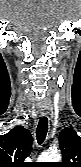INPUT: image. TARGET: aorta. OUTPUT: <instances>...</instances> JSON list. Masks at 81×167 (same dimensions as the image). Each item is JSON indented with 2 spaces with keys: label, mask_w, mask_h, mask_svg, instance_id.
Returning a JSON list of instances; mask_svg holds the SVG:
<instances>
[{
  "label": "aorta",
  "mask_w": 81,
  "mask_h": 167,
  "mask_svg": "<svg viewBox=\"0 0 81 167\" xmlns=\"http://www.w3.org/2000/svg\"><path fill=\"white\" fill-rule=\"evenodd\" d=\"M38 160L39 162H59L61 160V155L57 151H47L42 153Z\"/></svg>",
  "instance_id": "obj_1"
}]
</instances>
